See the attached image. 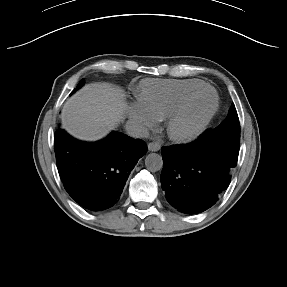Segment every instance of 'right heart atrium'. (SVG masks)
Returning <instances> with one entry per match:
<instances>
[{"mask_svg": "<svg viewBox=\"0 0 287 287\" xmlns=\"http://www.w3.org/2000/svg\"><path fill=\"white\" fill-rule=\"evenodd\" d=\"M130 118L142 129L153 128L156 124V119L139 103L130 107Z\"/></svg>", "mask_w": 287, "mask_h": 287, "instance_id": "obj_1", "label": "right heart atrium"}]
</instances>
